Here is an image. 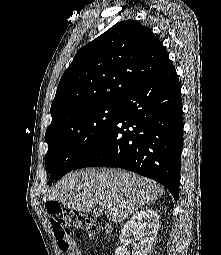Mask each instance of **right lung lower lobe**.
Listing matches in <instances>:
<instances>
[{
  "mask_svg": "<svg viewBox=\"0 0 221 255\" xmlns=\"http://www.w3.org/2000/svg\"><path fill=\"white\" fill-rule=\"evenodd\" d=\"M183 143L181 88L170 60L121 102L115 119L74 167H120L164 185L178 200Z\"/></svg>",
  "mask_w": 221,
  "mask_h": 255,
  "instance_id": "right-lung-lower-lobe-1",
  "label": "right lung lower lobe"
}]
</instances>
